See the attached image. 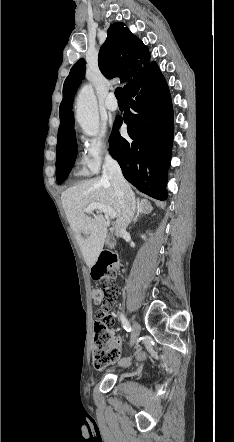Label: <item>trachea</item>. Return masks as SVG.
I'll return each instance as SVG.
<instances>
[{"label": "trachea", "instance_id": "3493384b", "mask_svg": "<svg viewBox=\"0 0 234 442\" xmlns=\"http://www.w3.org/2000/svg\"><path fill=\"white\" fill-rule=\"evenodd\" d=\"M115 96H116L117 100H123V92H122L121 87L116 88Z\"/></svg>", "mask_w": 234, "mask_h": 442}]
</instances>
